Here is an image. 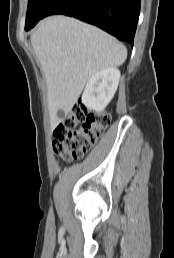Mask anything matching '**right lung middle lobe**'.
Listing matches in <instances>:
<instances>
[{
	"mask_svg": "<svg viewBox=\"0 0 174 258\" xmlns=\"http://www.w3.org/2000/svg\"><path fill=\"white\" fill-rule=\"evenodd\" d=\"M55 0H28L25 30L28 31L44 18L45 11Z\"/></svg>",
	"mask_w": 174,
	"mask_h": 258,
	"instance_id": "dd1d6c3e",
	"label": "right lung middle lobe"
}]
</instances>
